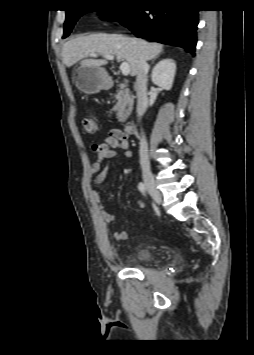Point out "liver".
<instances>
[{
	"label": "liver",
	"mask_w": 254,
	"mask_h": 355,
	"mask_svg": "<svg viewBox=\"0 0 254 355\" xmlns=\"http://www.w3.org/2000/svg\"><path fill=\"white\" fill-rule=\"evenodd\" d=\"M162 49L163 45L149 43L143 39L119 34L96 33L66 42L62 48V58L66 67H71L78 61H81V65L101 67L107 64V60L88 59L90 54L113 55L118 62L129 63L131 75L135 76L141 61L154 59Z\"/></svg>",
	"instance_id": "1"
}]
</instances>
